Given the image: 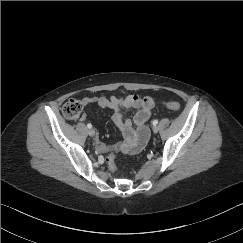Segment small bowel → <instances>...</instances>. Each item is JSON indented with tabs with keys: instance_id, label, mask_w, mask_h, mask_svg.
Returning a JSON list of instances; mask_svg holds the SVG:
<instances>
[{
	"instance_id": "obj_1",
	"label": "small bowel",
	"mask_w": 243,
	"mask_h": 243,
	"mask_svg": "<svg viewBox=\"0 0 243 243\" xmlns=\"http://www.w3.org/2000/svg\"><path fill=\"white\" fill-rule=\"evenodd\" d=\"M82 103L87 106L96 104L100 108H110L113 110L112 120L119 128L122 134V141L107 145L96 139L95 146L97 150L104 154H112L114 152H139L145 145L148 137L146 122L151 117L155 102L152 97H141L134 94L123 96H92L82 99ZM137 110L133 121L136 129L133 127L132 120L126 116V112ZM88 115L83 113L80 117L82 121L87 120Z\"/></svg>"
}]
</instances>
